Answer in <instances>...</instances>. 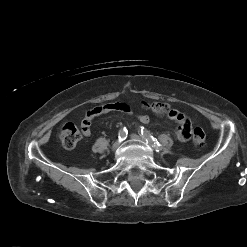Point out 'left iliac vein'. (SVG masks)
I'll return each instance as SVG.
<instances>
[{
    "mask_svg": "<svg viewBox=\"0 0 247 247\" xmlns=\"http://www.w3.org/2000/svg\"><path fill=\"white\" fill-rule=\"evenodd\" d=\"M130 137L134 140H138V141H144V139L142 137H140L139 135L137 134H131Z\"/></svg>",
    "mask_w": 247,
    "mask_h": 247,
    "instance_id": "left-iliac-vein-1",
    "label": "left iliac vein"
}]
</instances>
